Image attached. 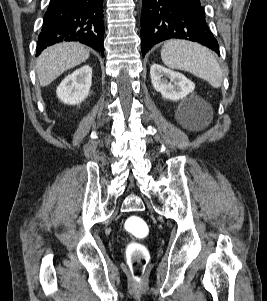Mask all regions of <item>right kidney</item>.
<instances>
[{
  "instance_id": "obj_1",
  "label": "right kidney",
  "mask_w": 267,
  "mask_h": 301,
  "mask_svg": "<svg viewBox=\"0 0 267 301\" xmlns=\"http://www.w3.org/2000/svg\"><path fill=\"white\" fill-rule=\"evenodd\" d=\"M91 85L92 68L85 65L63 79L57 87V97L65 104H80L88 97Z\"/></svg>"
}]
</instances>
